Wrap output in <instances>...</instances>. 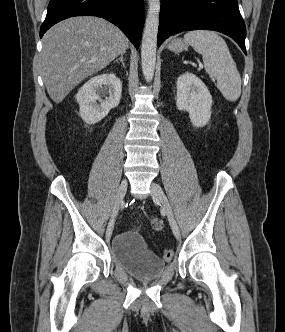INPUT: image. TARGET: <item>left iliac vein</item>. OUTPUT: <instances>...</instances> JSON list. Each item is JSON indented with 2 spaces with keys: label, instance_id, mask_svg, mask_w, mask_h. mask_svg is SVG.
<instances>
[{
  "label": "left iliac vein",
  "instance_id": "obj_1",
  "mask_svg": "<svg viewBox=\"0 0 285 332\" xmlns=\"http://www.w3.org/2000/svg\"><path fill=\"white\" fill-rule=\"evenodd\" d=\"M151 195L153 196L154 199H156L157 201H159L161 203L162 208L164 209V211L167 215V218L169 220V224L171 226L172 232H173L174 236L177 239H179L180 230H179L178 224L174 218L169 201H168L164 191L162 190V188L154 182L151 184Z\"/></svg>",
  "mask_w": 285,
  "mask_h": 332
}]
</instances>
